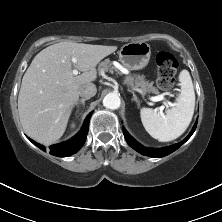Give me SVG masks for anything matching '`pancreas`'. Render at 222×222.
<instances>
[{"label":"pancreas","instance_id":"obj_1","mask_svg":"<svg viewBox=\"0 0 222 222\" xmlns=\"http://www.w3.org/2000/svg\"><path fill=\"white\" fill-rule=\"evenodd\" d=\"M113 70H115L118 74H120L118 69L112 65V63L109 59H105L104 61H102L99 64V72L100 73L106 72V71H113ZM125 82L131 86H133L134 82H135V86L140 87L144 93L159 94L158 89L153 86V82L145 81L143 78L134 79L131 76H127L125 79Z\"/></svg>","mask_w":222,"mask_h":222}]
</instances>
